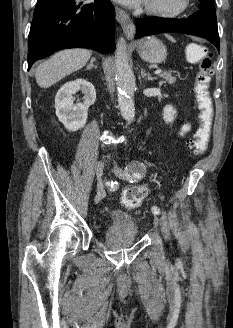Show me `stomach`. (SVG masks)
I'll return each instance as SVG.
<instances>
[{
	"mask_svg": "<svg viewBox=\"0 0 233 328\" xmlns=\"http://www.w3.org/2000/svg\"><path fill=\"white\" fill-rule=\"evenodd\" d=\"M140 57L149 63L159 64L165 61L167 50L162 41L154 36L147 37L142 40L138 47Z\"/></svg>",
	"mask_w": 233,
	"mask_h": 328,
	"instance_id": "1",
	"label": "stomach"
}]
</instances>
